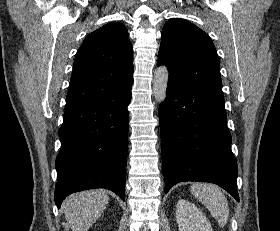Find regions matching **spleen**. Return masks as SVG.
<instances>
[{"label": "spleen", "mask_w": 280, "mask_h": 231, "mask_svg": "<svg viewBox=\"0 0 280 231\" xmlns=\"http://www.w3.org/2000/svg\"><path fill=\"white\" fill-rule=\"evenodd\" d=\"M191 193L202 201L209 209L212 217L217 219L220 227H224L229 217L227 197L223 195L220 187L213 183H193Z\"/></svg>", "instance_id": "1"}]
</instances>
